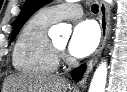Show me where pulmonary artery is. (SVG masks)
<instances>
[{
	"label": "pulmonary artery",
	"instance_id": "obj_1",
	"mask_svg": "<svg viewBox=\"0 0 127 92\" xmlns=\"http://www.w3.org/2000/svg\"><path fill=\"white\" fill-rule=\"evenodd\" d=\"M46 11L56 21L79 18L83 14L81 5L74 1L50 6Z\"/></svg>",
	"mask_w": 127,
	"mask_h": 92
}]
</instances>
